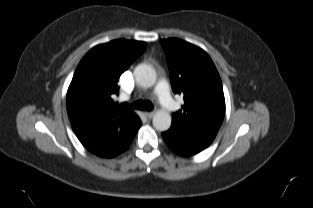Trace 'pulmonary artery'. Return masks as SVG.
I'll list each match as a JSON object with an SVG mask.
<instances>
[{
	"instance_id": "e3ab8cb5",
	"label": "pulmonary artery",
	"mask_w": 313,
	"mask_h": 208,
	"mask_svg": "<svg viewBox=\"0 0 313 208\" xmlns=\"http://www.w3.org/2000/svg\"><path fill=\"white\" fill-rule=\"evenodd\" d=\"M155 93L161 106L166 111H173L176 109L177 105L170 96L169 85L167 81L159 80L155 87Z\"/></svg>"
}]
</instances>
